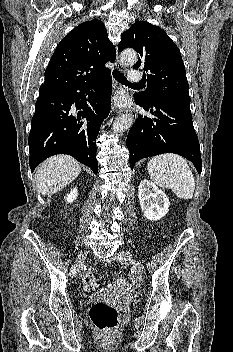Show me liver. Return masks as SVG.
I'll list each match as a JSON object with an SVG mask.
<instances>
[{
  "mask_svg": "<svg viewBox=\"0 0 233 352\" xmlns=\"http://www.w3.org/2000/svg\"><path fill=\"white\" fill-rule=\"evenodd\" d=\"M80 172L81 165L72 157L52 156L37 168V187L43 195L54 194L70 184Z\"/></svg>",
  "mask_w": 233,
  "mask_h": 352,
  "instance_id": "obj_1",
  "label": "liver"
}]
</instances>
